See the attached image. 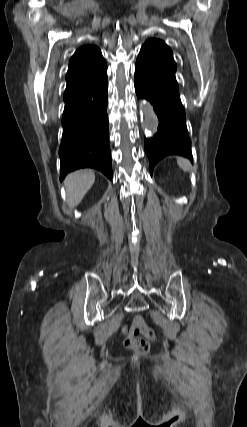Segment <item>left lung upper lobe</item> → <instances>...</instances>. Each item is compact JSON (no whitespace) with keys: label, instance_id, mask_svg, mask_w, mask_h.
I'll use <instances>...</instances> for the list:
<instances>
[{"label":"left lung upper lobe","instance_id":"obj_1","mask_svg":"<svg viewBox=\"0 0 247 427\" xmlns=\"http://www.w3.org/2000/svg\"><path fill=\"white\" fill-rule=\"evenodd\" d=\"M138 57L177 84L175 78L176 63L171 49L163 41L149 39L142 46Z\"/></svg>","mask_w":247,"mask_h":427}]
</instances>
